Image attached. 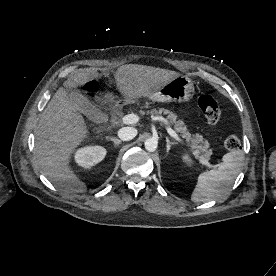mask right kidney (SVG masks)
<instances>
[{"instance_id":"right-kidney-1","label":"right kidney","mask_w":276,"mask_h":276,"mask_svg":"<svg viewBox=\"0 0 276 276\" xmlns=\"http://www.w3.org/2000/svg\"><path fill=\"white\" fill-rule=\"evenodd\" d=\"M106 155V149L102 146H87L75 153V161L84 168H90L101 162Z\"/></svg>"}]
</instances>
